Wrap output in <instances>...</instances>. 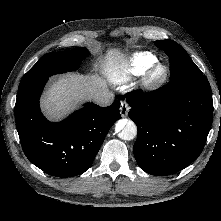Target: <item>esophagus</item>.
<instances>
[{
    "label": "esophagus",
    "instance_id": "34e87169",
    "mask_svg": "<svg viewBox=\"0 0 221 221\" xmlns=\"http://www.w3.org/2000/svg\"><path fill=\"white\" fill-rule=\"evenodd\" d=\"M129 112V105L126 101H121V106H120V114L122 117H126Z\"/></svg>",
    "mask_w": 221,
    "mask_h": 221
}]
</instances>
